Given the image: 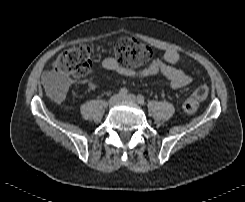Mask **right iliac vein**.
I'll return each mask as SVG.
<instances>
[{"label": "right iliac vein", "instance_id": "1", "mask_svg": "<svg viewBox=\"0 0 245 202\" xmlns=\"http://www.w3.org/2000/svg\"><path fill=\"white\" fill-rule=\"evenodd\" d=\"M121 101V96L116 94V95H113L110 100H109V106H114L116 105L117 103H119Z\"/></svg>", "mask_w": 245, "mask_h": 202}]
</instances>
